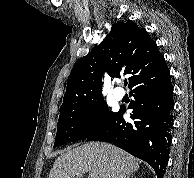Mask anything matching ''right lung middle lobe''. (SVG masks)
Returning a JSON list of instances; mask_svg holds the SVG:
<instances>
[{
	"label": "right lung middle lobe",
	"mask_w": 194,
	"mask_h": 178,
	"mask_svg": "<svg viewBox=\"0 0 194 178\" xmlns=\"http://www.w3.org/2000/svg\"><path fill=\"white\" fill-rule=\"evenodd\" d=\"M113 113L109 111L103 97L74 110L60 113L54 147L88 138Z\"/></svg>",
	"instance_id": "obj_1"
}]
</instances>
